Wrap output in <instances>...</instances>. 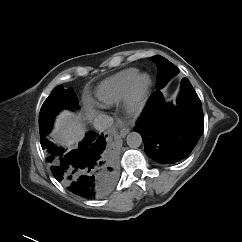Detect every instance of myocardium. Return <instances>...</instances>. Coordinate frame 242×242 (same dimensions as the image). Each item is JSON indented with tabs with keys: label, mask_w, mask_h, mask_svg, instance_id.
Masks as SVG:
<instances>
[{
	"label": "myocardium",
	"mask_w": 242,
	"mask_h": 242,
	"mask_svg": "<svg viewBox=\"0 0 242 242\" xmlns=\"http://www.w3.org/2000/svg\"><path fill=\"white\" fill-rule=\"evenodd\" d=\"M151 84L149 74L138 73L135 76L124 97V107L128 113L138 114L144 109Z\"/></svg>",
	"instance_id": "f54148a6"
}]
</instances>
